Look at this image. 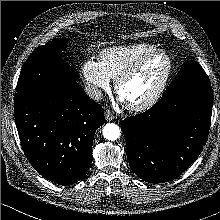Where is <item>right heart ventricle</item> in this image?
<instances>
[{"label":"right heart ventricle","instance_id":"obj_1","mask_svg":"<svg viewBox=\"0 0 220 220\" xmlns=\"http://www.w3.org/2000/svg\"><path fill=\"white\" fill-rule=\"evenodd\" d=\"M155 49L154 45L148 43L111 46L100 53L99 62L106 74L111 79H116L143 55Z\"/></svg>","mask_w":220,"mask_h":220}]
</instances>
